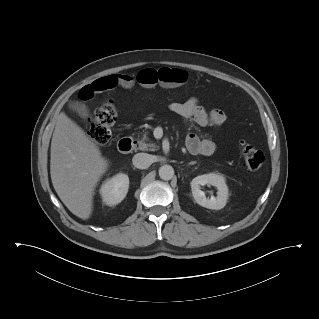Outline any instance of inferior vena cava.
Here are the masks:
<instances>
[{
    "label": "inferior vena cava",
    "mask_w": 319,
    "mask_h": 319,
    "mask_svg": "<svg viewBox=\"0 0 319 319\" xmlns=\"http://www.w3.org/2000/svg\"><path fill=\"white\" fill-rule=\"evenodd\" d=\"M133 165L139 169H146L151 165L150 155L147 153H137L132 159Z\"/></svg>",
    "instance_id": "602c4592"
}]
</instances>
